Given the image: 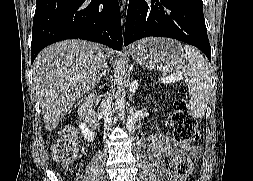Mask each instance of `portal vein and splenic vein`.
I'll return each instance as SVG.
<instances>
[{"mask_svg":"<svg viewBox=\"0 0 253 181\" xmlns=\"http://www.w3.org/2000/svg\"><path fill=\"white\" fill-rule=\"evenodd\" d=\"M182 79V76L181 75H176V74H173V75H170L164 79H162L161 81L163 83H171V82H175V81H179Z\"/></svg>","mask_w":253,"mask_h":181,"instance_id":"18ae733b","label":"portal vein and splenic vein"}]
</instances>
